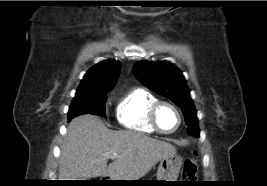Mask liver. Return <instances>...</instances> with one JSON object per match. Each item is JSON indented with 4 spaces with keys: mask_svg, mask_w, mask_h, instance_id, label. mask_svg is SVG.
Instances as JSON below:
<instances>
[{
    "mask_svg": "<svg viewBox=\"0 0 267 186\" xmlns=\"http://www.w3.org/2000/svg\"><path fill=\"white\" fill-rule=\"evenodd\" d=\"M175 152V147L165 141L135 131H112L98 117L81 115L67 128L61 146L59 180L101 176L137 180L163 157ZM107 153L117 154L109 165Z\"/></svg>",
    "mask_w": 267,
    "mask_h": 186,
    "instance_id": "obj_1",
    "label": "liver"
}]
</instances>
